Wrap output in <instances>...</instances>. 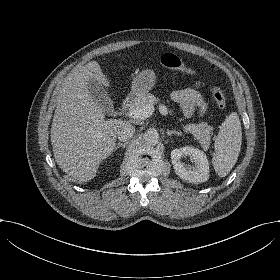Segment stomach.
<instances>
[{
	"label": "stomach",
	"instance_id": "1",
	"mask_svg": "<svg viewBox=\"0 0 280 280\" xmlns=\"http://www.w3.org/2000/svg\"><path fill=\"white\" fill-rule=\"evenodd\" d=\"M155 75L152 71H143L139 73L132 82V93L130 98L135 100L145 95L154 85Z\"/></svg>",
	"mask_w": 280,
	"mask_h": 280
}]
</instances>
